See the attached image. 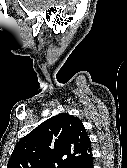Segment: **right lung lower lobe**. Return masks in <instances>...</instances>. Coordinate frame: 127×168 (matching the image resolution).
<instances>
[{
	"mask_svg": "<svg viewBox=\"0 0 127 168\" xmlns=\"http://www.w3.org/2000/svg\"><path fill=\"white\" fill-rule=\"evenodd\" d=\"M75 168H92V156L89 157L84 162H82V163L78 164L77 166H75Z\"/></svg>",
	"mask_w": 127,
	"mask_h": 168,
	"instance_id": "right-lung-lower-lobe-1",
	"label": "right lung lower lobe"
}]
</instances>
